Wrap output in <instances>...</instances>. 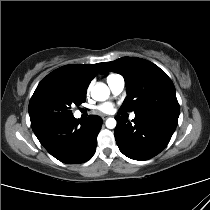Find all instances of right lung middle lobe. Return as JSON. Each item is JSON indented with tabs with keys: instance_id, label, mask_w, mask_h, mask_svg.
I'll return each mask as SVG.
<instances>
[{
	"instance_id": "right-lung-middle-lobe-1",
	"label": "right lung middle lobe",
	"mask_w": 210,
	"mask_h": 210,
	"mask_svg": "<svg viewBox=\"0 0 210 210\" xmlns=\"http://www.w3.org/2000/svg\"><path fill=\"white\" fill-rule=\"evenodd\" d=\"M85 100L86 92L72 86H53L45 89L34 102L30 114L32 128L72 115V106H78Z\"/></svg>"
}]
</instances>
